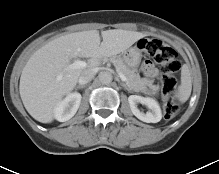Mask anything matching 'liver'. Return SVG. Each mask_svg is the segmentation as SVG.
Instances as JSON below:
<instances>
[{"mask_svg":"<svg viewBox=\"0 0 219 174\" xmlns=\"http://www.w3.org/2000/svg\"><path fill=\"white\" fill-rule=\"evenodd\" d=\"M60 36L38 49L23 68L19 91L27 112L37 121L51 123L54 109L76 86L85 70L98 67L101 59L119 54L143 37L140 32L113 29ZM89 58L85 68L70 69L71 60Z\"/></svg>","mask_w":219,"mask_h":174,"instance_id":"obj_1","label":"liver"}]
</instances>
